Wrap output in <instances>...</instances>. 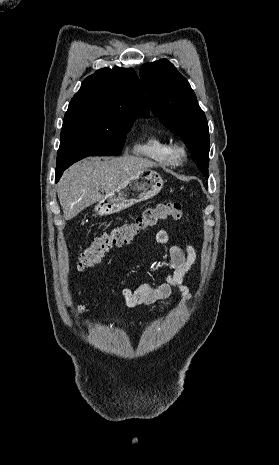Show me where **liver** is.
<instances>
[{
    "label": "liver",
    "instance_id": "6515ba94",
    "mask_svg": "<svg viewBox=\"0 0 279 465\" xmlns=\"http://www.w3.org/2000/svg\"><path fill=\"white\" fill-rule=\"evenodd\" d=\"M154 164L144 158L124 155L117 158L91 157L75 163L62 175L57 194L64 218L70 220L100 201L134 174Z\"/></svg>",
    "mask_w": 279,
    "mask_h": 465
}]
</instances>
